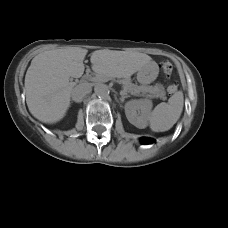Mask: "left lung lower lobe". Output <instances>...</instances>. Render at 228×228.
Wrapping results in <instances>:
<instances>
[{
    "instance_id": "obj_1",
    "label": "left lung lower lobe",
    "mask_w": 228,
    "mask_h": 228,
    "mask_svg": "<svg viewBox=\"0 0 228 228\" xmlns=\"http://www.w3.org/2000/svg\"><path fill=\"white\" fill-rule=\"evenodd\" d=\"M152 142H153V140L150 138H143L142 139V143H145V144L152 143Z\"/></svg>"
}]
</instances>
